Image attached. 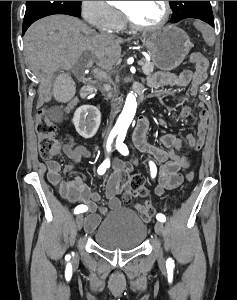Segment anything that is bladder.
Listing matches in <instances>:
<instances>
[{
	"label": "bladder",
	"mask_w": 237,
	"mask_h": 300,
	"mask_svg": "<svg viewBox=\"0 0 237 300\" xmlns=\"http://www.w3.org/2000/svg\"><path fill=\"white\" fill-rule=\"evenodd\" d=\"M146 223L125 209L107 217L93 232L94 242L106 250L128 251L138 248L147 237Z\"/></svg>",
	"instance_id": "bladder-1"
}]
</instances>
